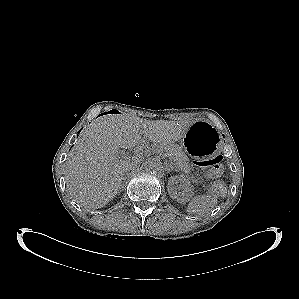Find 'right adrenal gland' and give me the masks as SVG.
Instances as JSON below:
<instances>
[{
  "label": "right adrenal gland",
  "instance_id": "2a0ac1e0",
  "mask_svg": "<svg viewBox=\"0 0 299 299\" xmlns=\"http://www.w3.org/2000/svg\"><path fill=\"white\" fill-rule=\"evenodd\" d=\"M126 178H127V177L124 176V178H123L124 182H125ZM120 189H123V185H121Z\"/></svg>",
  "mask_w": 299,
  "mask_h": 299
}]
</instances>
